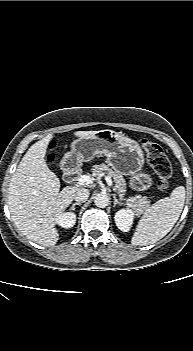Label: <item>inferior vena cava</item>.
I'll return each mask as SVG.
<instances>
[{
	"instance_id": "obj_1",
	"label": "inferior vena cava",
	"mask_w": 193,
	"mask_h": 351,
	"mask_svg": "<svg viewBox=\"0 0 193 351\" xmlns=\"http://www.w3.org/2000/svg\"><path fill=\"white\" fill-rule=\"evenodd\" d=\"M90 193L88 189L85 188H78L76 193L74 194V199L75 201L81 203V202H86Z\"/></svg>"
}]
</instances>
